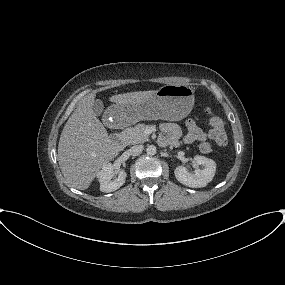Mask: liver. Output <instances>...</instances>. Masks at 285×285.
Listing matches in <instances>:
<instances>
[{"label":"liver","instance_id":"1","mask_svg":"<svg viewBox=\"0 0 285 285\" xmlns=\"http://www.w3.org/2000/svg\"><path fill=\"white\" fill-rule=\"evenodd\" d=\"M156 91H138L113 95L109 100L126 105L145 100ZM90 94L79 102L66 122L58 144V161L62 174L76 189L85 190L101 167L115 158L121 146L112 140L104 125L94 115Z\"/></svg>","mask_w":285,"mask_h":285}]
</instances>
